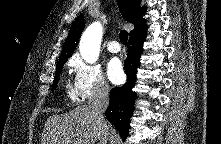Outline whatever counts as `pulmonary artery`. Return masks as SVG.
Returning <instances> with one entry per match:
<instances>
[{
  "instance_id": "e3ab8cb5",
  "label": "pulmonary artery",
  "mask_w": 221,
  "mask_h": 144,
  "mask_svg": "<svg viewBox=\"0 0 221 144\" xmlns=\"http://www.w3.org/2000/svg\"><path fill=\"white\" fill-rule=\"evenodd\" d=\"M107 50L111 53H118L120 51V45L117 41H110L107 44Z\"/></svg>"
}]
</instances>
